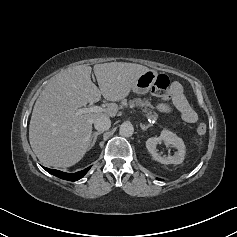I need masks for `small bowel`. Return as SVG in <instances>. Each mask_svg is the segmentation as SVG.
<instances>
[{"label":"small bowel","instance_id":"small-bowel-1","mask_svg":"<svg viewBox=\"0 0 237 237\" xmlns=\"http://www.w3.org/2000/svg\"><path fill=\"white\" fill-rule=\"evenodd\" d=\"M172 105L179 111L181 118L187 123H195L197 121V113L188 103L183 94V88L180 83L175 82L171 87ZM157 109L161 112H168L169 105L160 103Z\"/></svg>","mask_w":237,"mask_h":237}]
</instances>
